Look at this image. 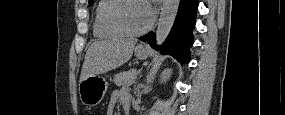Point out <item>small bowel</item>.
<instances>
[{
  "label": "small bowel",
  "mask_w": 285,
  "mask_h": 115,
  "mask_svg": "<svg viewBox=\"0 0 285 115\" xmlns=\"http://www.w3.org/2000/svg\"><path fill=\"white\" fill-rule=\"evenodd\" d=\"M118 101L121 102L124 109H129L130 104H129L128 95L124 92L118 91V92H115L110 99V102H109L108 108H107V114L108 115L114 114V108H115V105Z\"/></svg>",
  "instance_id": "1"
}]
</instances>
